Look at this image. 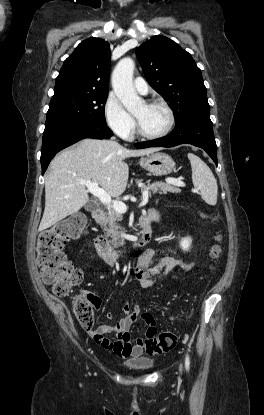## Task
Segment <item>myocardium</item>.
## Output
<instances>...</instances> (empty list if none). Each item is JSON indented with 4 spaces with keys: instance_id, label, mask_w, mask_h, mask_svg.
Here are the masks:
<instances>
[{
    "instance_id": "myocardium-1",
    "label": "myocardium",
    "mask_w": 264,
    "mask_h": 415,
    "mask_svg": "<svg viewBox=\"0 0 264 415\" xmlns=\"http://www.w3.org/2000/svg\"><path fill=\"white\" fill-rule=\"evenodd\" d=\"M146 105L162 107L168 114V117H169L168 124H167L166 128L160 133L146 134L142 131L138 120L136 118H134L135 119V128H136L137 136L140 137V138H143V139H148V140H156V139H161V138L165 137L166 135H168L171 132V130L174 127L175 121H176V117H175V113H174L173 109L170 107V105L167 102H165L164 100H161V99L149 100V101L146 102Z\"/></svg>"
}]
</instances>
